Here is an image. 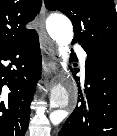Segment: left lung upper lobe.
I'll list each match as a JSON object with an SVG mask.
<instances>
[{
  "label": "left lung upper lobe",
  "mask_w": 117,
  "mask_h": 136,
  "mask_svg": "<svg viewBox=\"0 0 117 136\" xmlns=\"http://www.w3.org/2000/svg\"><path fill=\"white\" fill-rule=\"evenodd\" d=\"M50 11H61L73 23L74 42L89 54L117 58V13L113 0H44Z\"/></svg>",
  "instance_id": "5c2ea615"
}]
</instances>
